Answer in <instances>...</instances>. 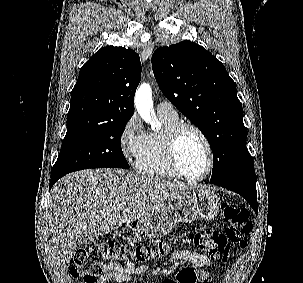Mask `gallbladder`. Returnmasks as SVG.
Masks as SVG:
<instances>
[{
  "mask_svg": "<svg viewBox=\"0 0 303 283\" xmlns=\"http://www.w3.org/2000/svg\"><path fill=\"white\" fill-rule=\"evenodd\" d=\"M95 240L92 236H81L76 240L75 249H86Z\"/></svg>",
  "mask_w": 303,
  "mask_h": 283,
  "instance_id": "obj_1",
  "label": "gallbladder"
}]
</instances>
